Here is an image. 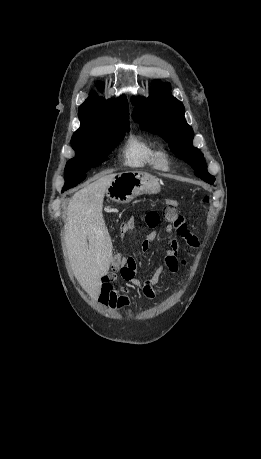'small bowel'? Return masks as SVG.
Instances as JSON below:
<instances>
[{
  "label": "small bowel",
  "mask_w": 261,
  "mask_h": 459,
  "mask_svg": "<svg viewBox=\"0 0 261 459\" xmlns=\"http://www.w3.org/2000/svg\"><path fill=\"white\" fill-rule=\"evenodd\" d=\"M135 227V219L130 217L121 227L122 233L131 231ZM173 229L176 230L177 234L186 240V242L192 246H198V240L196 236L191 234L184 224L181 230H178L172 223H169L166 227L167 234L171 235ZM158 237L156 231H151L147 234L146 238L141 243L143 251H147L149 244L154 242ZM179 244L175 237L171 236L169 240V248L166 251L163 265L159 266L151 277L145 279H138L135 276L136 273V261L132 257L123 259V264L119 270V276L124 281V285L116 288L114 282L117 280V274L110 272L102 278L101 288L99 292V301L102 305L116 309L123 310L130 304V295L128 287H133L140 291L147 299H154L156 296V287L159 279L165 270L171 273H177L183 261L179 258Z\"/></svg>",
  "instance_id": "c3829d8e"
}]
</instances>
